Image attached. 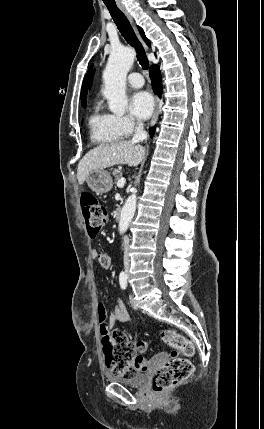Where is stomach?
Instances as JSON below:
<instances>
[{
  "instance_id": "obj_1",
  "label": "stomach",
  "mask_w": 264,
  "mask_h": 429,
  "mask_svg": "<svg viewBox=\"0 0 264 429\" xmlns=\"http://www.w3.org/2000/svg\"><path fill=\"white\" fill-rule=\"evenodd\" d=\"M86 183L98 195L109 192L113 186L110 173L105 169L91 171L86 178Z\"/></svg>"
}]
</instances>
